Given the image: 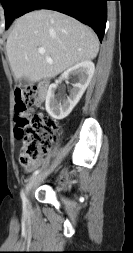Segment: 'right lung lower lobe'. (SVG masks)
<instances>
[{
  "label": "right lung lower lobe",
  "instance_id": "obj_1",
  "mask_svg": "<svg viewBox=\"0 0 133 253\" xmlns=\"http://www.w3.org/2000/svg\"><path fill=\"white\" fill-rule=\"evenodd\" d=\"M108 0H24L16 18L37 8L62 12L89 25L102 41Z\"/></svg>",
  "mask_w": 133,
  "mask_h": 253
}]
</instances>
